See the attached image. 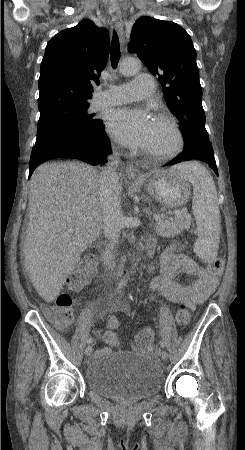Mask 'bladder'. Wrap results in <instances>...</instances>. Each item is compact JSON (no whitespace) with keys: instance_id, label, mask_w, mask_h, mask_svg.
<instances>
[{"instance_id":"1","label":"bladder","mask_w":245,"mask_h":450,"mask_svg":"<svg viewBox=\"0 0 245 450\" xmlns=\"http://www.w3.org/2000/svg\"><path fill=\"white\" fill-rule=\"evenodd\" d=\"M164 382L161 366L145 354L119 351L89 362L87 388L106 398L141 400L157 394Z\"/></svg>"}]
</instances>
